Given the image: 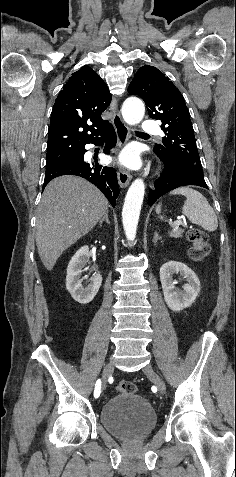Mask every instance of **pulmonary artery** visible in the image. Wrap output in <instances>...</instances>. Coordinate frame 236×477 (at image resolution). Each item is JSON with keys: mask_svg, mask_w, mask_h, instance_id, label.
<instances>
[{"mask_svg": "<svg viewBox=\"0 0 236 477\" xmlns=\"http://www.w3.org/2000/svg\"><path fill=\"white\" fill-rule=\"evenodd\" d=\"M141 131L146 134H158L160 128L154 121H144L141 126Z\"/></svg>", "mask_w": 236, "mask_h": 477, "instance_id": "obj_1", "label": "pulmonary artery"}]
</instances>
